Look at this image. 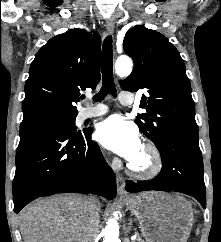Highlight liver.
Wrapping results in <instances>:
<instances>
[{
	"instance_id": "1",
	"label": "liver",
	"mask_w": 221,
	"mask_h": 242,
	"mask_svg": "<svg viewBox=\"0 0 221 242\" xmlns=\"http://www.w3.org/2000/svg\"><path fill=\"white\" fill-rule=\"evenodd\" d=\"M85 200L83 196L64 195L31 203L19 215L23 241L83 242Z\"/></svg>"
}]
</instances>
